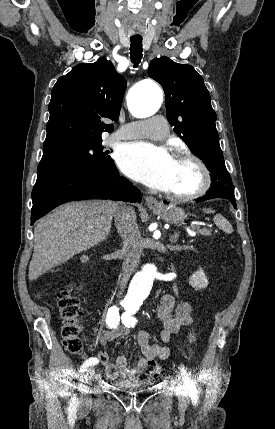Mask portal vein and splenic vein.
<instances>
[{
	"label": "portal vein and splenic vein",
	"mask_w": 275,
	"mask_h": 429,
	"mask_svg": "<svg viewBox=\"0 0 275 429\" xmlns=\"http://www.w3.org/2000/svg\"><path fill=\"white\" fill-rule=\"evenodd\" d=\"M189 234H190L191 236H194V235H195V233H194V232H192L191 230H189Z\"/></svg>",
	"instance_id": "18ae733b"
}]
</instances>
